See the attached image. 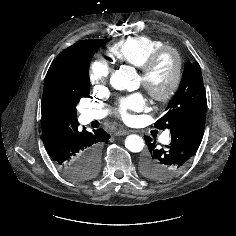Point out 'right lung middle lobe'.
Instances as JSON below:
<instances>
[{"instance_id": "obj_1", "label": "right lung middle lobe", "mask_w": 236, "mask_h": 236, "mask_svg": "<svg viewBox=\"0 0 236 236\" xmlns=\"http://www.w3.org/2000/svg\"><path fill=\"white\" fill-rule=\"evenodd\" d=\"M108 40L96 39L79 46L73 56L69 73L60 83L62 94L74 105L90 92L89 64L93 54ZM99 155H92L83 168L82 181L96 176L99 171Z\"/></svg>"}]
</instances>
